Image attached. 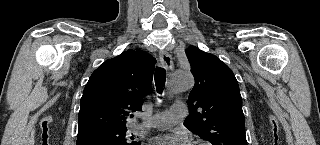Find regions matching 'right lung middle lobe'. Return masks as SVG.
Returning a JSON list of instances; mask_svg holds the SVG:
<instances>
[{
  "label": "right lung middle lobe",
  "instance_id": "1",
  "mask_svg": "<svg viewBox=\"0 0 320 145\" xmlns=\"http://www.w3.org/2000/svg\"><path fill=\"white\" fill-rule=\"evenodd\" d=\"M86 140H98L108 145H140V142L133 141V136L127 134L126 127L95 130L78 136L77 142Z\"/></svg>",
  "mask_w": 320,
  "mask_h": 145
}]
</instances>
